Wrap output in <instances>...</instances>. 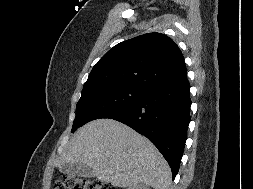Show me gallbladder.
I'll use <instances>...</instances> for the list:
<instances>
[{"mask_svg": "<svg viewBox=\"0 0 253 189\" xmlns=\"http://www.w3.org/2000/svg\"><path fill=\"white\" fill-rule=\"evenodd\" d=\"M59 169L61 173L68 176L92 177L94 175L93 169L83 163L64 164Z\"/></svg>", "mask_w": 253, "mask_h": 189, "instance_id": "obj_1", "label": "gallbladder"}]
</instances>
